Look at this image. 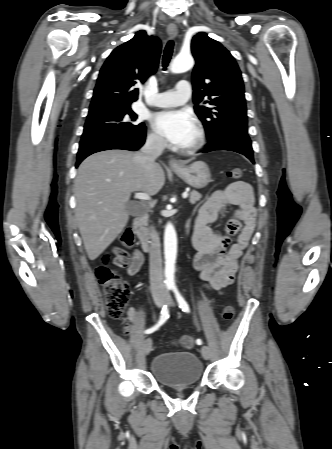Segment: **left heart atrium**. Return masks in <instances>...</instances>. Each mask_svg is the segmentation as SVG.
<instances>
[{"mask_svg": "<svg viewBox=\"0 0 332 449\" xmlns=\"http://www.w3.org/2000/svg\"><path fill=\"white\" fill-rule=\"evenodd\" d=\"M157 132L171 144L186 146L196 130L193 116L185 110H170L157 113L153 118Z\"/></svg>", "mask_w": 332, "mask_h": 449, "instance_id": "left-heart-atrium-1", "label": "left heart atrium"}]
</instances>
